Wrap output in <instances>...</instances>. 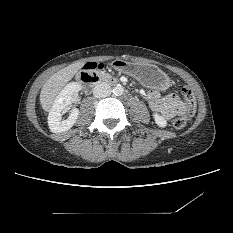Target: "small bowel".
<instances>
[{"label": "small bowel", "instance_id": "obj_1", "mask_svg": "<svg viewBox=\"0 0 233 233\" xmlns=\"http://www.w3.org/2000/svg\"><path fill=\"white\" fill-rule=\"evenodd\" d=\"M144 99L150 108L160 113L165 120H169L177 114L183 115L187 111L186 103L173 92L162 95L159 90H149L144 94Z\"/></svg>", "mask_w": 233, "mask_h": 233}]
</instances>
